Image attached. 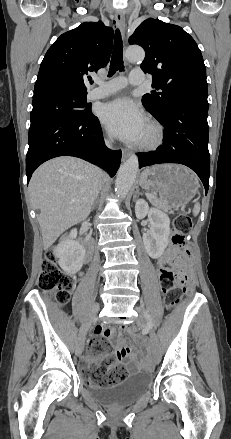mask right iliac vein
I'll use <instances>...</instances> for the list:
<instances>
[{
	"mask_svg": "<svg viewBox=\"0 0 231 439\" xmlns=\"http://www.w3.org/2000/svg\"><path fill=\"white\" fill-rule=\"evenodd\" d=\"M98 309H99V305L96 304L93 307V309L91 310L89 316L86 318V320L82 324L80 334H79V337H78V340L76 343V354L78 356H80L83 352L86 333L88 332L91 324L97 319L96 312L98 311Z\"/></svg>",
	"mask_w": 231,
	"mask_h": 439,
	"instance_id": "obj_1",
	"label": "right iliac vein"
}]
</instances>
